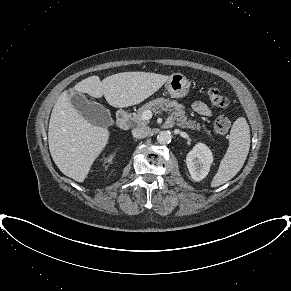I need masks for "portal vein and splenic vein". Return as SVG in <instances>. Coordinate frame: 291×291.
Returning a JSON list of instances; mask_svg holds the SVG:
<instances>
[{"label":"portal vein and splenic vein","mask_w":291,"mask_h":291,"mask_svg":"<svg viewBox=\"0 0 291 291\" xmlns=\"http://www.w3.org/2000/svg\"><path fill=\"white\" fill-rule=\"evenodd\" d=\"M160 111H157L156 114H160ZM153 116V112L150 110H146L142 113L141 115V120L146 121V120H150Z\"/></svg>","instance_id":"portal-vein-and-splenic-vein-1"}]
</instances>
